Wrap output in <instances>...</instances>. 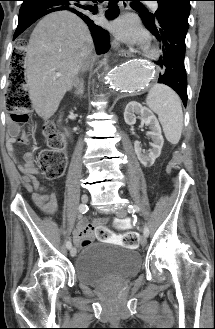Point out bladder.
Wrapping results in <instances>:
<instances>
[{"label": "bladder", "mask_w": 215, "mask_h": 329, "mask_svg": "<svg viewBox=\"0 0 215 329\" xmlns=\"http://www.w3.org/2000/svg\"><path fill=\"white\" fill-rule=\"evenodd\" d=\"M140 266V255L135 250L101 241L82 249L74 271L79 282L94 286L106 279L132 277Z\"/></svg>", "instance_id": "bladder-1"}]
</instances>
